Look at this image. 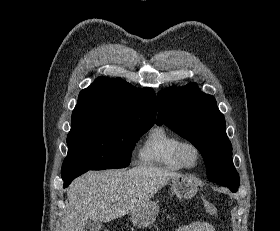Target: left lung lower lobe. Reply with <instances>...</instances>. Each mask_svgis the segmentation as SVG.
Wrapping results in <instances>:
<instances>
[{
	"label": "left lung lower lobe",
	"instance_id": "1",
	"mask_svg": "<svg viewBox=\"0 0 280 231\" xmlns=\"http://www.w3.org/2000/svg\"><path fill=\"white\" fill-rule=\"evenodd\" d=\"M221 186L228 187L232 192H236L239 187V175L236 173L235 175L229 176L223 180L216 181Z\"/></svg>",
	"mask_w": 280,
	"mask_h": 231
}]
</instances>
